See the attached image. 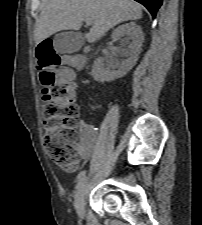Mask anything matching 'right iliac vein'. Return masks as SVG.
I'll use <instances>...</instances> for the list:
<instances>
[{
	"mask_svg": "<svg viewBox=\"0 0 202 225\" xmlns=\"http://www.w3.org/2000/svg\"><path fill=\"white\" fill-rule=\"evenodd\" d=\"M88 188V179H83L78 187L75 195V208L80 217L85 216V196Z\"/></svg>",
	"mask_w": 202,
	"mask_h": 225,
	"instance_id": "right-iliac-vein-1",
	"label": "right iliac vein"
}]
</instances>
